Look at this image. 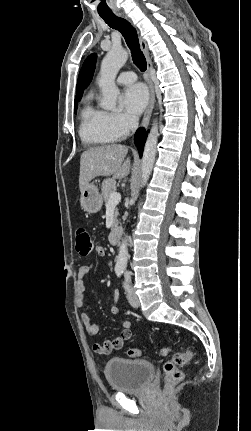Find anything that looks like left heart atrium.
I'll return each instance as SVG.
<instances>
[{
	"mask_svg": "<svg viewBox=\"0 0 251 431\" xmlns=\"http://www.w3.org/2000/svg\"><path fill=\"white\" fill-rule=\"evenodd\" d=\"M148 101V91L141 83L128 86L122 95V103L124 108L133 116L140 115L146 108Z\"/></svg>",
	"mask_w": 251,
	"mask_h": 431,
	"instance_id": "39dd6f15",
	"label": "left heart atrium"
}]
</instances>
